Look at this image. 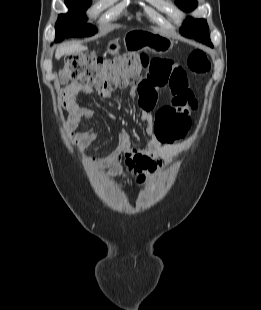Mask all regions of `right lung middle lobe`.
Instances as JSON below:
<instances>
[{
  "label": "right lung middle lobe",
  "instance_id": "right-lung-middle-lobe-1",
  "mask_svg": "<svg viewBox=\"0 0 261 310\" xmlns=\"http://www.w3.org/2000/svg\"><path fill=\"white\" fill-rule=\"evenodd\" d=\"M69 13L61 14L55 25L56 39L61 41L65 37L91 36L97 29L86 23L85 11L91 5V0H66Z\"/></svg>",
  "mask_w": 261,
  "mask_h": 310
}]
</instances>
